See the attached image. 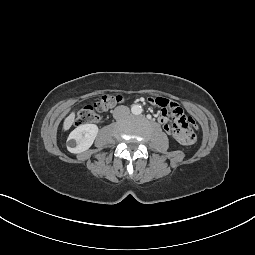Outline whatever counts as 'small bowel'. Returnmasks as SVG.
I'll list each match as a JSON object with an SVG mask.
<instances>
[{
  "label": "small bowel",
  "mask_w": 255,
  "mask_h": 255,
  "mask_svg": "<svg viewBox=\"0 0 255 255\" xmlns=\"http://www.w3.org/2000/svg\"><path fill=\"white\" fill-rule=\"evenodd\" d=\"M147 104L152 105L155 110H161L158 121L171 139L179 140L181 144L187 146L195 142L197 135L188 125L178 104L168 101L165 96H151L147 99Z\"/></svg>",
  "instance_id": "c3829d8e"
}]
</instances>
